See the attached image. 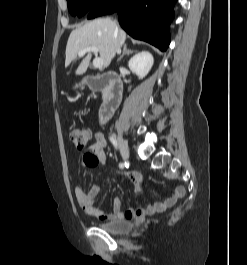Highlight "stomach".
Wrapping results in <instances>:
<instances>
[{
	"label": "stomach",
	"instance_id": "0dacf381",
	"mask_svg": "<svg viewBox=\"0 0 247 265\" xmlns=\"http://www.w3.org/2000/svg\"><path fill=\"white\" fill-rule=\"evenodd\" d=\"M79 86H80V85H78V84H77V85H75V87H74V88L76 89V88H78Z\"/></svg>",
	"mask_w": 247,
	"mask_h": 265
}]
</instances>
